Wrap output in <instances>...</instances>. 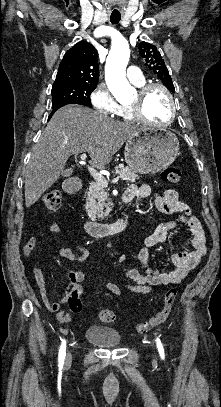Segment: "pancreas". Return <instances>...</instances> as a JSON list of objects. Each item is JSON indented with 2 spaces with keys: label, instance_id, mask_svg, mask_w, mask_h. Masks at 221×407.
<instances>
[{
  "label": "pancreas",
  "instance_id": "pancreas-1",
  "mask_svg": "<svg viewBox=\"0 0 221 407\" xmlns=\"http://www.w3.org/2000/svg\"><path fill=\"white\" fill-rule=\"evenodd\" d=\"M115 172L120 175L122 180L127 182H135L139 178L138 174L131 168L118 165L115 167ZM86 212L92 220L104 219L111 212V202L108 198V193L105 187H102L97 182H92L89 186L86 197Z\"/></svg>",
  "mask_w": 221,
  "mask_h": 407
}]
</instances>
